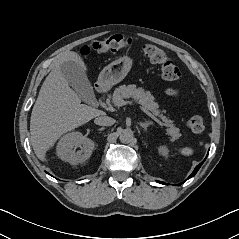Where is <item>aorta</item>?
Here are the masks:
<instances>
[{
  "label": "aorta",
  "mask_w": 239,
  "mask_h": 239,
  "mask_svg": "<svg viewBox=\"0 0 239 239\" xmlns=\"http://www.w3.org/2000/svg\"><path fill=\"white\" fill-rule=\"evenodd\" d=\"M134 138L133 131L131 129H123L120 132L119 139L122 143H130Z\"/></svg>",
  "instance_id": "aorta-1"
}]
</instances>
